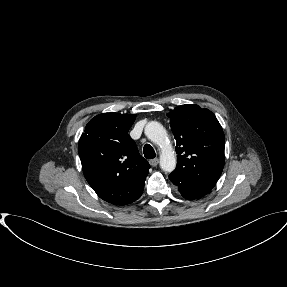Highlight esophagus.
I'll list each match as a JSON object with an SVG mask.
<instances>
[{"instance_id":"1","label":"esophagus","mask_w":287,"mask_h":287,"mask_svg":"<svg viewBox=\"0 0 287 287\" xmlns=\"http://www.w3.org/2000/svg\"><path fill=\"white\" fill-rule=\"evenodd\" d=\"M149 163H150L151 166L155 167V166L158 165L159 159H158V158L151 159V160L149 161Z\"/></svg>"}]
</instances>
